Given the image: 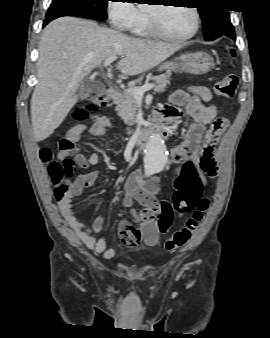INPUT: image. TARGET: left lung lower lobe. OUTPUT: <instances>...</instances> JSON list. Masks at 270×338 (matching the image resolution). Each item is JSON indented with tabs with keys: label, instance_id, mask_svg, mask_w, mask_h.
Here are the masks:
<instances>
[{
	"label": "left lung lower lobe",
	"instance_id": "1",
	"mask_svg": "<svg viewBox=\"0 0 270 338\" xmlns=\"http://www.w3.org/2000/svg\"><path fill=\"white\" fill-rule=\"evenodd\" d=\"M230 36H231L232 39H235V31H234V30H233L232 33H230ZM230 36H229V37H230Z\"/></svg>",
	"mask_w": 270,
	"mask_h": 338
}]
</instances>
